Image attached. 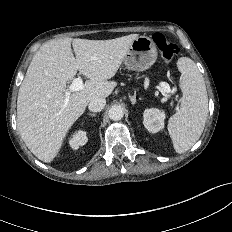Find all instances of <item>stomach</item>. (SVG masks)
<instances>
[{
    "label": "stomach",
    "mask_w": 232,
    "mask_h": 232,
    "mask_svg": "<svg viewBox=\"0 0 232 232\" xmlns=\"http://www.w3.org/2000/svg\"><path fill=\"white\" fill-rule=\"evenodd\" d=\"M157 59V48L150 37L140 36L135 39L125 58L124 64L129 70L143 71L150 68Z\"/></svg>",
    "instance_id": "stomach-1"
}]
</instances>
